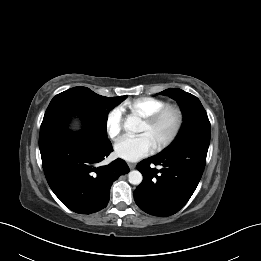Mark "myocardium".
Segmentation results:
<instances>
[{"label":"myocardium","mask_w":261,"mask_h":261,"mask_svg":"<svg viewBox=\"0 0 261 261\" xmlns=\"http://www.w3.org/2000/svg\"><path fill=\"white\" fill-rule=\"evenodd\" d=\"M172 115L174 123L168 135L154 146L155 151H161L170 146L179 136L184 125V113L175 104H167L151 115L143 118V122L149 126H154L162 121L166 116Z\"/></svg>","instance_id":"f54148a6"}]
</instances>
